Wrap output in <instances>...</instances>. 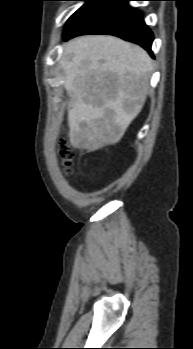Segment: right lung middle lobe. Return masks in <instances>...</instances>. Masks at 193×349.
Listing matches in <instances>:
<instances>
[{"label": "right lung middle lobe", "mask_w": 193, "mask_h": 349, "mask_svg": "<svg viewBox=\"0 0 193 349\" xmlns=\"http://www.w3.org/2000/svg\"><path fill=\"white\" fill-rule=\"evenodd\" d=\"M85 1V4L80 7L67 21L66 30L72 28L75 24H77L84 16H86L89 12H91L94 8L100 5L105 0H78Z\"/></svg>", "instance_id": "dd1d6c3e"}]
</instances>
